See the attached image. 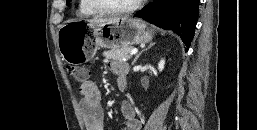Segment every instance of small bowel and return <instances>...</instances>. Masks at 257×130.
Listing matches in <instances>:
<instances>
[{
  "label": "small bowel",
  "mask_w": 257,
  "mask_h": 130,
  "mask_svg": "<svg viewBox=\"0 0 257 130\" xmlns=\"http://www.w3.org/2000/svg\"><path fill=\"white\" fill-rule=\"evenodd\" d=\"M110 69L116 75L117 85L120 87L125 84L128 66L122 62H113ZM80 93V107L86 130H104V112L99 88L94 82L87 80L81 84ZM121 114L124 119L123 130H140L141 123L130 103H121Z\"/></svg>",
  "instance_id": "1"
}]
</instances>
